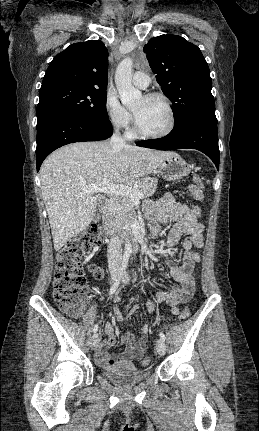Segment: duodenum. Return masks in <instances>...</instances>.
Instances as JSON below:
<instances>
[{"label": "duodenum", "instance_id": "duodenum-1", "mask_svg": "<svg viewBox=\"0 0 259 431\" xmlns=\"http://www.w3.org/2000/svg\"><path fill=\"white\" fill-rule=\"evenodd\" d=\"M102 227H103L104 232H105L106 237H107L106 241L112 242L116 236V230L114 227V222H113V217H112V204L111 203L106 204L104 209H103ZM138 238H139V233H138L137 229H135L133 231L132 236H129L127 238L128 242L131 244V247L133 250L138 249V242H137Z\"/></svg>", "mask_w": 259, "mask_h": 431}]
</instances>
